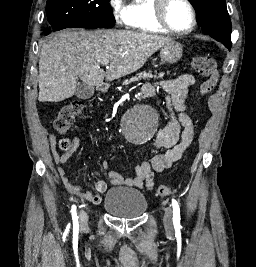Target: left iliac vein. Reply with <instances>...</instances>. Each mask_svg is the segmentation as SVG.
<instances>
[{"label":"left iliac vein","mask_w":256,"mask_h":267,"mask_svg":"<svg viewBox=\"0 0 256 267\" xmlns=\"http://www.w3.org/2000/svg\"><path fill=\"white\" fill-rule=\"evenodd\" d=\"M164 225L167 229L172 230L173 229V214H172V208L167 207L165 209L164 217H163Z\"/></svg>","instance_id":"4c4485c4"}]
</instances>
